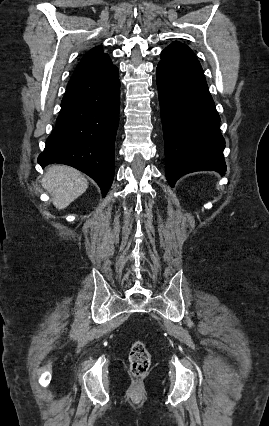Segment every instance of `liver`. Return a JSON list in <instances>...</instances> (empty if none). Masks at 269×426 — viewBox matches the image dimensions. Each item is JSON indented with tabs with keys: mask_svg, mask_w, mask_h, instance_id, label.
Returning <instances> with one entry per match:
<instances>
[{
	"mask_svg": "<svg viewBox=\"0 0 269 426\" xmlns=\"http://www.w3.org/2000/svg\"><path fill=\"white\" fill-rule=\"evenodd\" d=\"M41 184L59 210L69 206L88 188V181L80 171L64 165L49 166Z\"/></svg>",
	"mask_w": 269,
	"mask_h": 426,
	"instance_id": "1",
	"label": "liver"
}]
</instances>
